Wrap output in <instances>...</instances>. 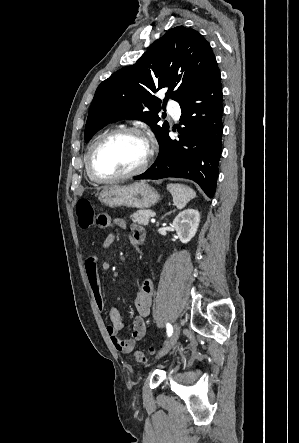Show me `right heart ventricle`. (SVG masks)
<instances>
[{
  "mask_svg": "<svg viewBox=\"0 0 299 443\" xmlns=\"http://www.w3.org/2000/svg\"><path fill=\"white\" fill-rule=\"evenodd\" d=\"M103 134H104V133H103ZM99 137H100V136H99ZM99 137H97V138H99ZM97 138H96V139H97ZM96 139H95V140H96ZM94 142H95V141H94ZM94 142H93V143H94ZM93 143H92V144H93ZM92 144H91V145H92ZM91 145H90V146H91ZM89 148H90V147H89ZM88 150H89V149H88ZM87 154H88V151H87ZM87 154H86V158H87ZM86 170H87V167H86ZM87 173H88V171H87ZM88 175H89V174H88ZM89 177H90V176H89ZM91 180H92V179H91Z\"/></svg>",
  "mask_w": 299,
  "mask_h": 443,
  "instance_id": "obj_1",
  "label": "right heart ventricle"
}]
</instances>
